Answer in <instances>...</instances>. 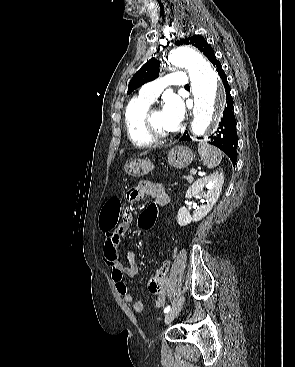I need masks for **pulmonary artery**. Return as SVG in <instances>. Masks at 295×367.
<instances>
[{
	"mask_svg": "<svg viewBox=\"0 0 295 367\" xmlns=\"http://www.w3.org/2000/svg\"><path fill=\"white\" fill-rule=\"evenodd\" d=\"M175 85L180 87H185L188 85V78L185 72L183 71H175L167 74L166 76L152 81L146 85H144L139 90V97L150 102H153L162 92V90L169 86Z\"/></svg>",
	"mask_w": 295,
	"mask_h": 367,
	"instance_id": "1",
	"label": "pulmonary artery"
}]
</instances>
